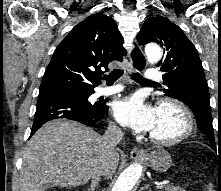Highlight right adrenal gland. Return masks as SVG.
<instances>
[{"label": "right adrenal gland", "mask_w": 221, "mask_h": 191, "mask_svg": "<svg viewBox=\"0 0 221 191\" xmlns=\"http://www.w3.org/2000/svg\"><path fill=\"white\" fill-rule=\"evenodd\" d=\"M89 191H94V189L91 187V188L89 189Z\"/></svg>", "instance_id": "obj_1"}]
</instances>
